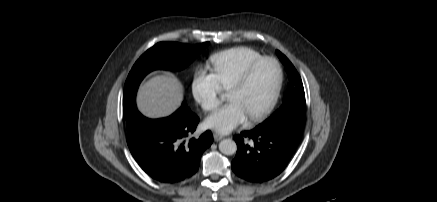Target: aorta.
<instances>
[{
    "instance_id": "aorta-1",
    "label": "aorta",
    "mask_w": 437,
    "mask_h": 202,
    "mask_svg": "<svg viewBox=\"0 0 437 202\" xmlns=\"http://www.w3.org/2000/svg\"><path fill=\"white\" fill-rule=\"evenodd\" d=\"M219 150L225 155H233L237 151V145L231 139H224L219 143Z\"/></svg>"
}]
</instances>
